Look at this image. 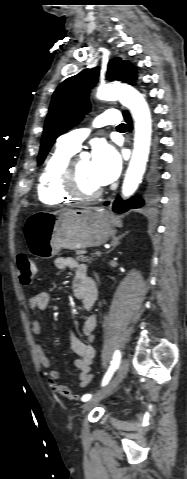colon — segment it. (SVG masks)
I'll return each instance as SVG.
<instances>
[{
    "mask_svg": "<svg viewBox=\"0 0 187 479\" xmlns=\"http://www.w3.org/2000/svg\"><path fill=\"white\" fill-rule=\"evenodd\" d=\"M16 263H17L20 282L25 286L30 285L34 279L35 272H36L33 261L26 254H18L16 257ZM50 383L52 385L53 390L56 391L61 396L69 400L76 399V395L72 392V390L68 386L58 384L54 382L53 380H50Z\"/></svg>",
    "mask_w": 187,
    "mask_h": 479,
    "instance_id": "colon-1",
    "label": "colon"
}]
</instances>
